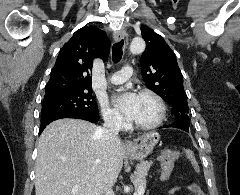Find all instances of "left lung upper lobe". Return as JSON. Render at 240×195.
Returning a JSON list of instances; mask_svg holds the SVG:
<instances>
[{"label": "left lung upper lobe", "mask_w": 240, "mask_h": 195, "mask_svg": "<svg viewBox=\"0 0 240 195\" xmlns=\"http://www.w3.org/2000/svg\"><path fill=\"white\" fill-rule=\"evenodd\" d=\"M141 30L146 41V50L140 60L142 78L147 88L172 106L176 117L172 124L189 130V108L175 54L154 30L148 26H142Z\"/></svg>", "instance_id": "1"}]
</instances>
